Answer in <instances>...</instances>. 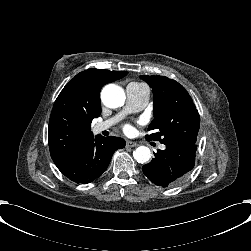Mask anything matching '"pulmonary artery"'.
Masks as SVG:
<instances>
[{"label": "pulmonary artery", "mask_w": 251, "mask_h": 251, "mask_svg": "<svg viewBox=\"0 0 251 251\" xmlns=\"http://www.w3.org/2000/svg\"><path fill=\"white\" fill-rule=\"evenodd\" d=\"M145 88L146 90L138 83H129L126 87L127 104L125 110L121 114H118L104 122L95 124L92 128L93 132L95 134L102 133L118 122L124 114L142 110L147 105L148 94H150V89L148 87ZM160 148L164 149L165 146L161 144Z\"/></svg>", "instance_id": "e3ab8cb5"}]
</instances>
